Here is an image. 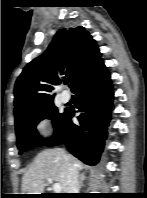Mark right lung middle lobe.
I'll list each match as a JSON object with an SVG mask.
<instances>
[{"instance_id": "dd1d6c3e", "label": "right lung middle lobe", "mask_w": 147, "mask_h": 198, "mask_svg": "<svg viewBox=\"0 0 147 198\" xmlns=\"http://www.w3.org/2000/svg\"><path fill=\"white\" fill-rule=\"evenodd\" d=\"M68 111L66 109L63 113H59L57 107L52 103L16 122L15 129L19 153L28 151L36 145L42 146L46 143V140L42 139L36 130V126L41 120L45 118L52 119L57 134L65 123Z\"/></svg>"}]
</instances>
